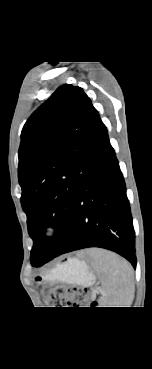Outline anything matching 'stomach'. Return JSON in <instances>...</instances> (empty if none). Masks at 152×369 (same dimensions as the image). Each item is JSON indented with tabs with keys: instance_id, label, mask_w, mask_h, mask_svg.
Instances as JSON below:
<instances>
[{
	"instance_id": "0dacf381",
	"label": "stomach",
	"mask_w": 152,
	"mask_h": 369,
	"mask_svg": "<svg viewBox=\"0 0 152 369\" xmlns=\"http://www.w3.org/2000/svg\"><path fill=\"white\" fill-rule=\"evenodd\" d=\"M36 280H60L70 284L90 286L95 281V276L86 262L71 259L59 264L47 275L37 276Z\"/></svg>"
}]
</instances>
